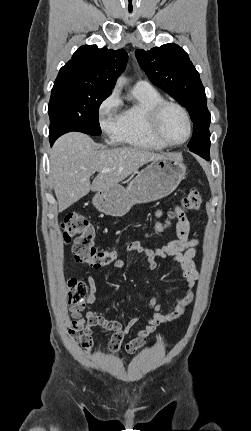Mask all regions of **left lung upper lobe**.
I'll return each mask as SVG.
<instances>
[{
    "label": "left lung upper lobe",
    "mask_w": 251,
    "mask_h": 431,
    "mask_svg": "<svg viewBox=\"0 0 251 431\" xmlns=\"http://www.w3.org/2000/svg\"><path fill=\"white\" fill-rule=\"evenodd\" d=\"M135 56L149 80L183 105L197 131L188 144L190 151L209 159L210 112L199 73L188 54L177 44H164L149 51L138 49Z\"/></svg>",
    "instance_id": "obj_1"
}]
</instances>
